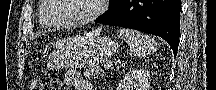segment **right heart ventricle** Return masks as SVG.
<instances>
[{"mask_svg":"<svg viewBox=\"0 0 216 90\" xmlns=\"http://www.w3.org/2000/svg\"><path fill=\"white\" fill-rule=\"evenodd\" d=\"M54 2H40V6L38 9L40 10V14H50V7H53ZM40 26L43 29H50V27L45 23V21L40 18L39 19Z\"/></svg>","mask_w":216,"mask_h":90,"instance_id":"right-heart-ventricle-1","label":"right heart ventricle"}]
</instances>
